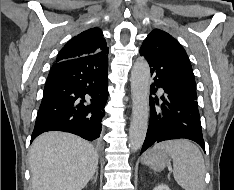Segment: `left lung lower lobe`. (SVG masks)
<instances>
[{"instance_id": "0a47b994", "label": "left lung lower lobe", "mask_w": 234, "mask_h": 190, "mask_svg": "<svg viewBox=\"0 0 234 190\" xmlns=\"http://www.w3.org/2000/svg\"><path fill=\"white\" fill-rule=\"evenodd\" d=\"M140 55L148 61L154 80L150 88L151 121L141 154L154 143L180 138L195 141L205 151L198 103L173 82L167 49L140 48ZM158 88L163 89L162 104H158L157 96H151Z\"/></svg>"}]
</instances>
